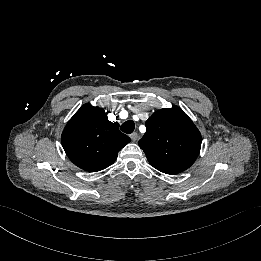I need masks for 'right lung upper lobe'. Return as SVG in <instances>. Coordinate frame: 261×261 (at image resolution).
Masks as SVG:
<instances>
[{
    "label": "right lung upper lobe",
    "instance_id": "cb5924a9",
    "mask_svg": "<svg viewBox=\"0 0 261 261\" xmlns=\"http://www.w3.org/2000/svg\"><path fill=\"white\" fill-rule=\"evenodd\" d=\"M62 146L79 168L96 172L114 163L118 152L130 142L119 124L107 118L104 109L84 104L67 123Z\"/></svg>",
    "mask_w": 261,
    "mask_h": 261
}]
</instances>
